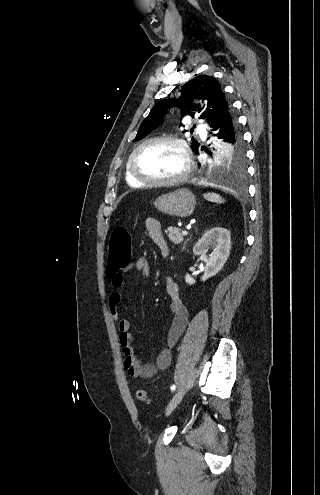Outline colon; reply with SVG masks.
<instances>
[{
  "label": "colon",
  "mask_w": 320,
  "mask_h": 495,
  "mask_svg": "<svg viewBox=\"0 0 320 495\" xmlns=\"http://www.w3.org/2000/svg\"><path fill=\"white\" fill-rule=\"evenodd\" d=\"M132 238L130 232L124 226L113 229L108 244V263L110 272L117 273L127 267L131 260ZM139 401L149 404L150 399L144 389L136 391Z\"/></svg>",
  "instance_id": "colon-1"
}]
</instances>
